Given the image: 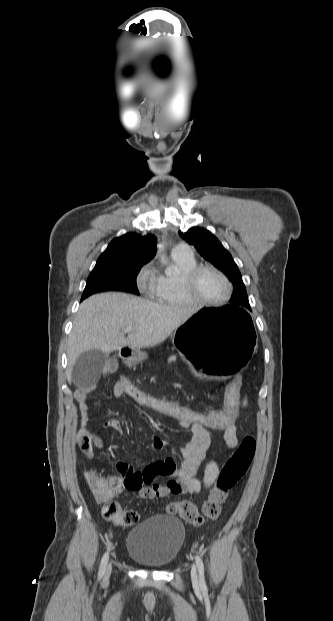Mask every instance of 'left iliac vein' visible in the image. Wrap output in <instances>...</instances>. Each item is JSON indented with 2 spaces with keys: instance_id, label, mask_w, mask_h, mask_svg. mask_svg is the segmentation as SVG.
<instances>
[{
  "instance_id": "left-iliac-vein-1",
  "label": "left iliac vein",
  "mask_w": 333,
  "mask_h": 621,
  "mask_svg": "<svg viewBox=\"0 0 333 621\" xmlns=\"http://www.w3.org/2000/svg\"><path fill=\"white\" fill-rule=\"evenodd\" d=\"M191 578H192V582H193L194 585H198L199 584L197 568H196L195 565H193L192 569H191Z\"/></svg>"
}]
</instances>
